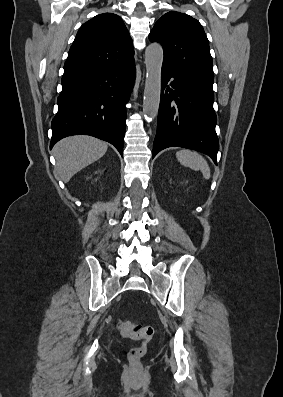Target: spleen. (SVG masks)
<instances>
[{
  "instance_id": "spleen-1",
  "label": "spleen",
  "mask_w": 283,
  "mask_h": 397,
  "mask_svg": "<svg viewBox=\"0 0 283 397\" xmlns=\"http://www.w3.org/2000/svg\"><path fill=\"white\" fill-rule=\"evenodd\" d=\"M177 160L184 166H187L193 170H200L205 179H209L210 168L207 161L197 152L190 150H180L176 152Z\"/></svg>"
}]
</instances>
